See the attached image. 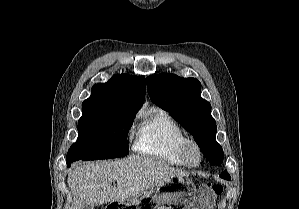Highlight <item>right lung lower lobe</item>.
Returning <instances> with one entry per match:
<instances>
[{
  "label": "right lung lower lobe",
  "instance_id": "98d812e1",
  "mask_svg": "<svg viewBox=\"0 0 299 209\" xmlns=\"http://www.w3.org/2000/svg\"><path fill=\"white\" fill-rule=\"evenodd\" d=\"M71 163H72V162H67V166L70 167Z\"/></svg>",
  "mask_w": 299,
  "mask_h": 209
}]
</instances>
